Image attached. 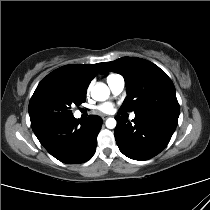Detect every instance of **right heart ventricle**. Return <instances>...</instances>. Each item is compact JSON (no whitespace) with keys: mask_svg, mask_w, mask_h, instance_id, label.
<instances>
[{"mask_svg":"<svg viewBox=\"0 0 210 210\" xmlns=\"http://www.w3.org/2000/svg\"><path fill=\"white\" fill-rule=\"evenodd\" d=\"M111 76H114V75H110V76H108V78L111 77Z\"/></svg>","mask_w":210,"mask_h":210,"instance_id":"1","label":"right heart ventricle"}]
</instances>
